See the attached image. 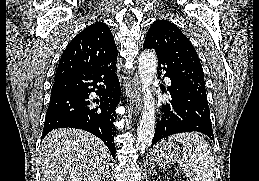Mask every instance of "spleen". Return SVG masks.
I'll use <instances>...</instances> for the list:
<instances>
[{
	"label": "spleen",
	"mask_w": 259,
	"mask_h": 181,
	"mask_svg": "<svg viewBox=\"0 0 259 181\" xmlns=\"http://www.w3.org/2000/svg\"><path fill=\"white\" fill-rule=\"evenodd\" d=\"M168 141L183 144V171L190 181H215V163L209 143L197 133H178Z\"/></svg>",
	"instance_id": "1"
}]
</instances>
